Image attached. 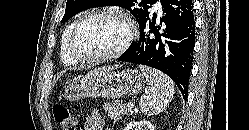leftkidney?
I'll use <instances>...</instances> for the list:
<instances>
[{
    "mask_svg": "<svg viewBox=\"0 0 249 130\" xmlns=\"http://www.w3.org/2000/svg\"><path fill=\"white\" fill-rule=\"evenodd\" d=\"M125 130H155V127L147 120H140L130 122Z\"/></svg>",
    "mask_w": 249,
    "mask_h": 130,
    "instance_id": "obj_1",
    "label": "left kidney"
}]
</instances>
